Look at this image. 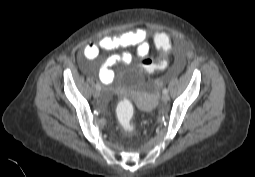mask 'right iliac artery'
<instances>
[{
  "label": "right iliac artery",
  "mask_w": 255,
  "mask_h": 177,
  "mask_svg": "<svg viewBox=\"0 0 255 177\" xmlns=\"http://www.w3.org/2000/svg\"><path fill=\"white\" fill-rule=\"evenodd\" d=\"M96 89L99 90V91L101 90V86H100L99 83L96 84Z\"/></svg>",
  "instance_id": "82829eb1"
}]
</instances>
